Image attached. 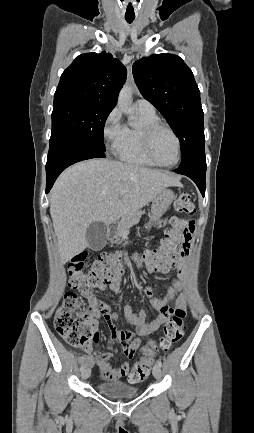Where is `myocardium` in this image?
Returning <instances> with one entry per match:
<instances>
[{
    "label": "myocardium",
    "instance_id": "obj_1",
    "mask_svg": "<svg viewBox=\"0 0 254 433\" xmlns=\"http://www.w3.org/2000/svg\"><path fill=\"white\" fill-rule=\"evenodd\" d=\"M159 130L168 131L176 141L177 158L172 164H163V163L159 162L154 155L152 143H153L154 135ZM142 145H143V149H144L146 156L155 166H159V167H163V168H173L176 165H178L180 160H181L182 147H181V141H180L178 135L170 126H168V125H166L160 121L155 122V123H151V124H147L143 127V129H142Z\"/></svg>",
    "mask_w": 254,
    "mask_h": 433
}]
</instances>
